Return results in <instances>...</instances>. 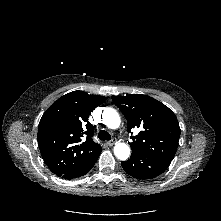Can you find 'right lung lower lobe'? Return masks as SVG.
<instances>
[{
  "mask_svg": "<svg viewBox=\"0 0 221 221\" xmlns=\"http://www.w3.org/2000/svg\"><path fill=\"white\" fill-rule=\"evenodd\" d=\"M101 151L92 155L91 157H89L88 159H86L85 161H83L82 163H80L79 165H77L76 167L72 168L71 170L67 171L59 177L65 179H73L85 175L94 166Z\"/></svg>",
  "mask_w": 221,
  "mask_h": 221,
  "instance_id": "obj_1",
  "label": "right lung lower lobe"
}]
</instances>
